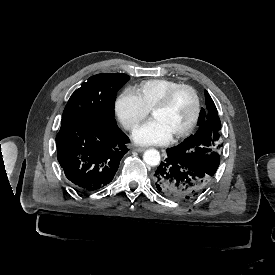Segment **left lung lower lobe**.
Masks as SVG:
<instances>
[{
  "instance_id": "0a47b994",
  "label": "left lung lower lobe",
  "mask_w": 275,
  "mask_h": 275,
  "mask_svg": "<svg viewBox=\"0 0 275 275\" xmlns=\"http://www.w3.org/2000/svg\"><path fill=\"white\" fill-rule=\"evenodd\" d=\"M214 174L206 172L174 155L167 149V157L154 173L157 190L174 200L197 198L213 183Z\"/></svg>"
}]
</instances>
